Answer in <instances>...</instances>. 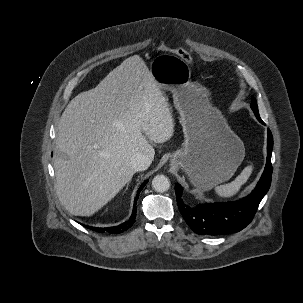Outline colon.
<instances>
[{"instance_id":"obj_1","label":"colon","mask_w":303,"mask_h":303,"mask_svg":"<svg viewBox=\"0 0 303 303\" xmlns=\"http://www.w3.org/2000/svg\"><path fill=\"white\" fill-rule=\"evenodd\" d=\"M157 49L161 52L173 53V54L177 55L178 57H180L181 59H183L185 62H188V63L192 62V58L187 51L179 49V48H171L164 42H161L158 45Z\"/></svg>"}]
</instances>
